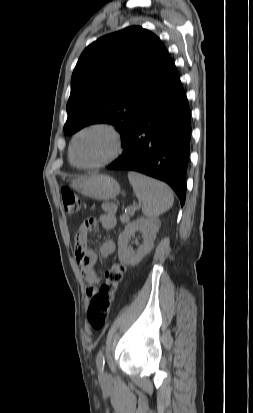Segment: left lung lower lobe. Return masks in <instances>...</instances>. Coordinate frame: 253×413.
Masks as SVG:
<instances>
[{"mask_svg":"<svg viewBox=\"0 0 253 413\" xmlns=\"http://www.w3.org/2000/svg\"><path fill=\"white\" fill-rule=\"evenodd\" d=\"M191 111L172 61L144 99L122 141V155L108 166L133 170L169 184L184 205Z\"/></svg>","mask_w":253,"mask_h":413,"instance_id":"left-lung-lower-lobe-1","label":"left lung lower lobe"}]
</instances>
